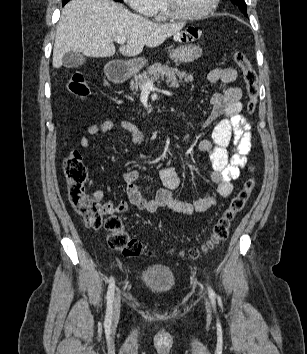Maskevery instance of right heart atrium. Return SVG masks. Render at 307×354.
I'll return each mask as SVG.
<instances>
[{
  "label": "right heart atrium",
  "mask_w": 307,
  "mask_h": 354,
  "mask_svg": "<svg viewBox=\"0 0 307 354\" xmlns=\"http://www.w3.org/2000/svg\"><path fill=\"white\" fill-rule=\"evenodd\" d=\"M124 2L133 10L145 16H151L157 6L158 0H124Z\"/></svg>",
  "instance_id": "1"
}]
</instances>
